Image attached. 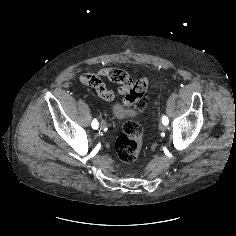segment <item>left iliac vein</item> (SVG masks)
Masks as SVG:
<instances>
[{"instance_id":"4c4485c4","label":"left iliac vein","mask_w":236,"mask_h":236,"mask_svg":"<svg viewBox=\"0 0 236 236\" xmlns=\"http://www.w3.org/2000/svg\"><path fill=\"white\" fill-rule=\"evenodd\" d=\"M159 129L161 131H165L166 130V125H164L163 123L159 125Z\"/></svg>"}]
</instances>
